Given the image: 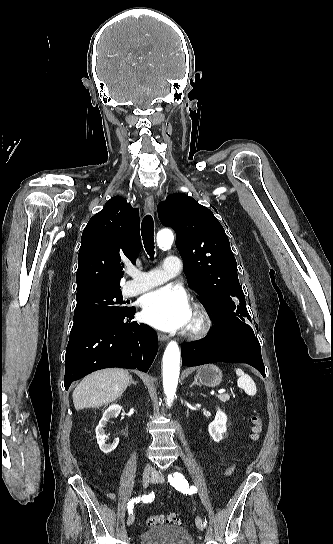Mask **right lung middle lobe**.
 <instances>
[{"label":"right lung middle lobe","mask_w":333,"mask_h":544,"mask_svg":"<svg viewBox=\"0 0 333 544\" xmlns=\"http://www.w3.org/2000/svg\"><path fill=\"white\" fill-rule=\"evenodd\" d=\"M131 307L125 306L121 290L100 292L77 299L70 337L79 335L102 322L121 316Z\"/></svg>","instance_id":"obj_1"}]
</instances>
